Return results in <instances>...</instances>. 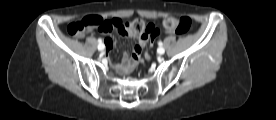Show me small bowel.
Returning a JSON list of instances; mask_svg holds the SVG:
<instances>
[{
    "label": "small bowel",
    "instance_id": "small-bowel-1",
    "mask_svg": "<svg viewBox=\"0 0 276 120\" xmlns=\"http://www.w3.org/2000/svg\"><path fill=\"white\" fill-rule=\"evenodd\" d=\"M153 39L148 40H139L138 45H136L133 49V52L130 56H127L126 53L123 54V60L121 65L119 66V72L121 74H127L133 71L137 65L141 62L140 52L142 47L146 44L152 42ZM113 40L111 38H107L105 40L106 49L109 50L113 47Z\"/></svg>",
    "mask_w": 276,
    "mask_h": 120
}]
</instances>
